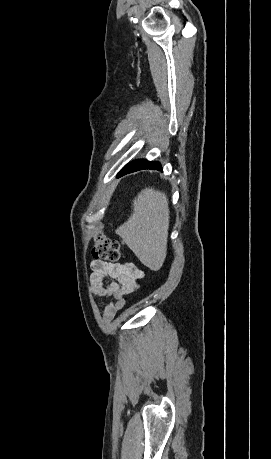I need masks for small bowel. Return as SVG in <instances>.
Instances as JSON below:
<instances>
[{"instance_id": "c3829d8e", "label": "small bowel", "mask_w": 271, "mask_h": 459, "mask_svg": "<svg viewBox=\"0 0 271 459\" xmlns=\"http://www.w3.org/2000/svg\"><path fill=\"white\" fill-rule=\"evenodd\" d=\"M91 268V291L111 299L103 309V318L110 321L124 307V297L136 291L144 272L131 263H108L100 260L93 261Z\"/></svg>"}]
</instances>
